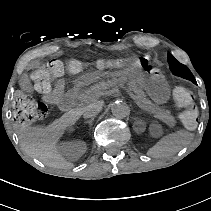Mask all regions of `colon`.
Segmentation results:
<instances>
[{"mask_svg": "<svg viewBox=\"0 0 211 211\" xmlns=\"http://www.w3.org/2000/svg\"><path fill=\"white\" fill-rule=\"evenodd\" d=\"M89 67L96 69H125L142 68L144 62L136 57H123L115 59L101 58L92 62L80 59H70L65 62L52 59L31 73L34 88L45 96L52 90L54 82L65 72L78 73ZM174 100L182 108L180 120L186 128L193 129L198 123V109L194 103L193 93L185 87H177L173 93ZM48 107L44 102L32 99L24 92H19L14 100L13 117L16 122L29 125L45 118Z\"/></svg>", "mask_w": 211, "mask_h": 211, "instance_id": "obj_1", "label": "colon"}]
</instances>
